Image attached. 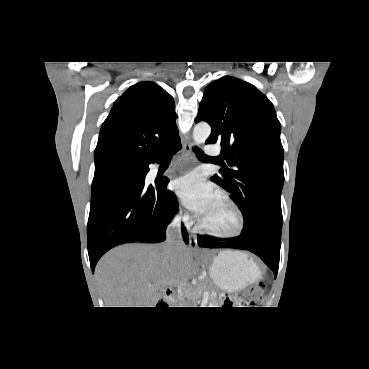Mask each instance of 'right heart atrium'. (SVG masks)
<instances>
[{"label":"right heart atrium","mask_w":369,"mask_h":369,"mask_svg":"<svg viewBox=\"0 0 369 369\" xmlns=\"http://www.w3.org/2000/svg\"><path fill=\"white\" fill-rule=\"evenodd\" d=\"M180 219H182L183 221L187 220V216L184 214H180Z\"/></svg>","instance_id":"1"}]
</instances>
